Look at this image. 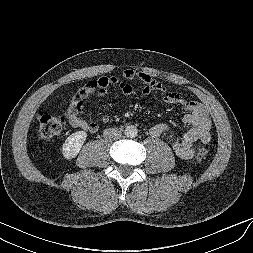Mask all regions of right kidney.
<instances>
[{
  "instance_id": "obj_1",
  "label": "right kidney",
  "mask_w": 253,
  "mask_h": 253,
  "mask_svg": "<svg viewBox=\"0 0 253 253\" xmlns=\"http://www.w3.org/2000/svg\"><path fill=\"white\" fill-rule=\"evenodd\" d=\"M86 138L87 133L85 131L72 133L62 145L61 151L63 157L67 160L75 158L81 150Z\"/></svg>"
}]
</instances>
